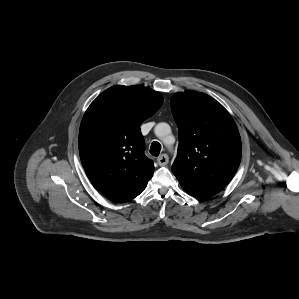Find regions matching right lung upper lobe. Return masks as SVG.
I'll return each mask as SVG.
<instances>
[{"label":"right lung upper lobe","mask_w":299,"mask_h":299,"mask_svg":"<svg viewBox=\"0 0 299 299\" xmlns=\"http://www.w3.org/2000/svg\"><path fill=\"white\" fill-rule=\"evenodd\" d=\"M152 89L115 85L86 110L79 131V154L93 186L116 201H129L146 187L154 172L144 155L140 124L162 105Z\"/></svg>","instance_id":"right-lung-upper-lobe-1"}]
</instances>
